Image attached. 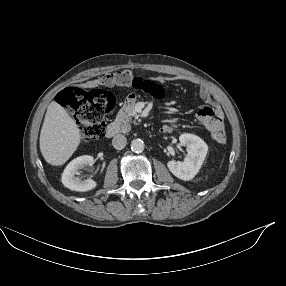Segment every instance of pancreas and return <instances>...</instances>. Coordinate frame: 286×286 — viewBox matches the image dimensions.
Wrapping results in <instances>:
<instances>
[{
    "instance_id": "pancreas-1",
    "label": "pancreas",
    "mask_w": 286,
    "mask_h": 286,
    "mask_svg": "<svg viewBox=\"0 0 286 286\" xmlns=\"http://www.w3.org/2000/svg\"><path fill=\"white\" fill-rule=\"evenodd\" d=\"M135 115L134 107L132 104L124 105L118 112L116 122L122 124L127 122L132 116Z\"/></svg>"
}]
</instances>
